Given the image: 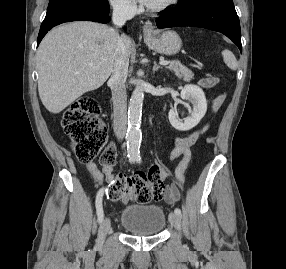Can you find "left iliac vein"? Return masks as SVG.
Masks as SVG:
<instances>
[{
  "label": "left iliac vein",
  "mask_w": 286,
  "mask_h": 269,
  "mask_svg": "<svg viewBox=\"0 0 286 269\" xmlns=\"http://www.w3.org/2000/svg\"><path fill=\"white\" fill-rule=\"evenodd\" d=\"M169 221H170L171 225L176 230L180 231V229H181V221H180L179 215H177L176 213L171 212L169 214Z\"/></svg>",
  "instance_id": "1"
}]
</instances>
